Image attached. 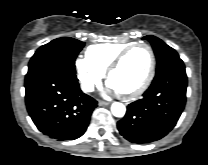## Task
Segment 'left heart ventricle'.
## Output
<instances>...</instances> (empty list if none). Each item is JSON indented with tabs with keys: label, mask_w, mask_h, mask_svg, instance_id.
Masks as SVG:
<instances>
[{
	"label": "left heart ventricle",
	"mask_w": 208,
	"mask_h": 165,
	"mask_svg": "<svg viewBox=\"0 0 208 165\" xmlns=\"http://www.w3.org/2000/svg\"><path fill=\"white\" fill-rule=\"evenodd\" d=\"M150 66V54L147 48L133 49L121 65L111 74L110 85L119 93H127L142 84Z\"/></svg>",
	"instance_id": "obj_1"
}]
</instances>
